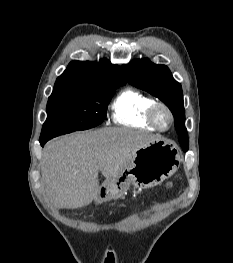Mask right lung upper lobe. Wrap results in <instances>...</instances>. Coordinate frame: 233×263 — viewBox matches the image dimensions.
I'll return each instance as SVG.
<instances>
[{
  "instance_id": "1",
  "label": "right lung upper lobe",
  "mask_w": 233,
  "mask_h": 263,
  "mask_svg": "<svg viewBox=\"0 0 233 263\" xmlns=\"http://www.w3.org/2000/svg\"><path fill=\"white\" fill-rule=\"evenodd\" d=\"M125 84L118 65L106 59L99 62L72 61L55 82L51 96L95 93Z\"/></svg>"
}]
</instances>
